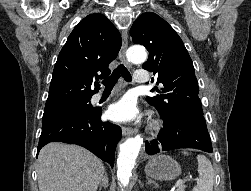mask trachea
Masks as SVG:
<instances>
[{"label": "trachea", "instance_id": "obj_1", "mask_svg": "<svg viewBox=\"0 0 251 191\" xmlns=\"http://www.w3.org/2000/svg\"><path fill=\"white\" fill-rule=\"evenodd\" d=\"M120 76H122L124 80L128 82L132 81V76L127 70V68L124 65L120 64L117 68H115L114 72L111 76H109V78H106V80L102 81V84L105 86V89L114 88Z\"/></svg>", "mask_w": 251, "mask_h": 191}]
</instances>
